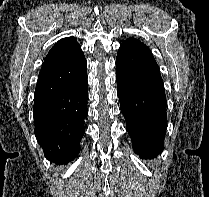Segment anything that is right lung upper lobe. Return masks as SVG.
<instances>
[{"label":"right lung upper lobe","instance_id":"1","mask_svg":"<svg viewBox=\"0 0 209 197\" xmlns=\"http://www.w3.org/2000/svg\"><path fill=\"white\" fill-rule=\"evenodd\" d=\"M80 50V45L73 37L60 39L47 54L39 76L59 68L73 58Z\"/></svg>","mask_w":209,"mask_h":197}]
</instances>
